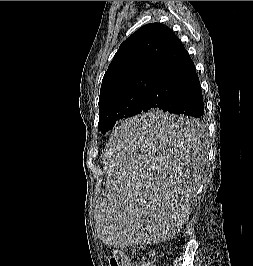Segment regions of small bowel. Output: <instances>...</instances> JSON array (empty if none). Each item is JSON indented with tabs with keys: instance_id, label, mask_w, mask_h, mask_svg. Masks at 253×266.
<instances>
[{
	"instance_id": "c3829d8e",
	"label": "small bowel",
	"mask_w": 253,
	"mask_h": 266,
	"mask_svg": "<svg viewBox=\"0 0 253 266\" xmlns=\"http://www.w3.org/2000/svg\"><path fill=\"white\" fill-rule=\"evenodd\" d=\"M129 266H139L138 264H129Z\"/></svg>"
}]
</instances>
